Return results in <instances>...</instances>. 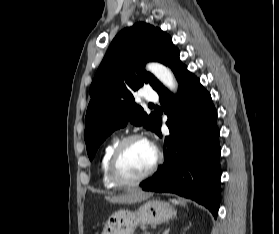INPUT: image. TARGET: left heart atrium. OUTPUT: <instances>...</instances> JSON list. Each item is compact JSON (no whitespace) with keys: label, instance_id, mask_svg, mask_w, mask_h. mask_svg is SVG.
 <instances>
[{"label":"left heart atrium","instance_id":"1","mask_svg":"<svg viewBox=\"0 0 279 234\" xmlns=\"http://www.w3.org/2000/svg\"><path fill=\"white\" fill-rule=\"evenodd\" d=\"M149 144L152 145L153 148L155 147L154 144L152 142H150V141H149Z\"/></svg>","mask_w":279,"mask_h":234}]
</instances>
